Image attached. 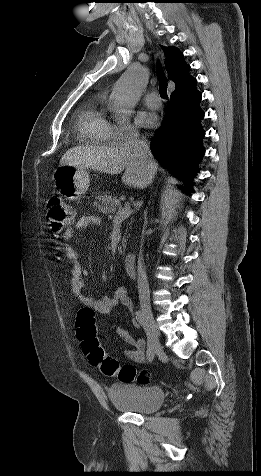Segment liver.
<instances>
[{"label":"liver","mask_w":261,"mask_h":476,"mask_svg":"<svg viewBox=\"0 0 261 476\" xmlns=\"http://www.w3.org/2000/svg\"><path fill=\"white\" fill-rule=\"evenodd\" d=\"M153 160V159H152ZM154 169L150 172L135 158L132 152L122 146H78L68 150L60 160V166L91 168L107 174L122 175V182L134 188L148 186L158 169L153 160Z\"/></svg>","instance_id":"liver-1"}]
</instances>
